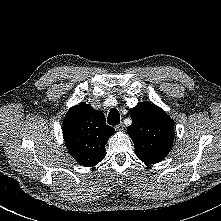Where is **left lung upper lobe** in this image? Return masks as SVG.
Returning <instances> with one entry per match:
<instances>
[{"mask_svg": "<svg viewBox=\"0 0 221 221\" xmlns=\"http://www.w3.org/2000/svg\"><path fill=\"white\" fill-rule=\"evenodd\" d=\"M132 124L127 133L132 138L137 157L147 163L162 161L174 139V122L160 107L140 102L130 111Z\"/></svg>", "mask_w": 221, "mask_h": 221, "instance_id": "left-lung-upper-lobe-1", "label": "left lung upper lobe"}]
</instances>
